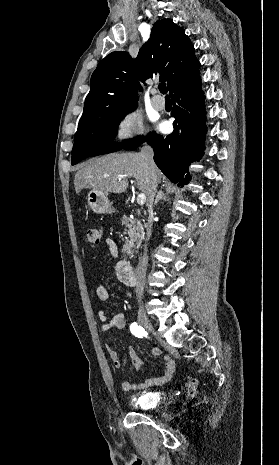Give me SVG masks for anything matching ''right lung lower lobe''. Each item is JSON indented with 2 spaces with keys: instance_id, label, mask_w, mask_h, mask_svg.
Masks as SVG:
<instances>
[{
  "instance_id": "98d812e1",
  "label": "right lung lower lobe",
  "mask_w": 279,
  "mask_h": 465,
  "mask_svg": "<svg viewBox=\"0 0 279 465\" xmlns=\"http://www.w3.org/2000/svg\"><path fill=\"white\" fill-rule=\"evenodd\" d=\"M174 131L167 137L153 133L146 141L154 149V161L173 182L184 186L190 180L189 165L199 161L204 150L205 96L200 76H194L172 94ZM131 149L137 146H131Z\"/></svg>"
}]
</instances>
